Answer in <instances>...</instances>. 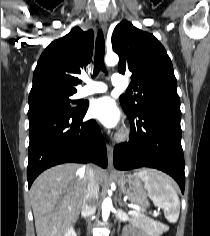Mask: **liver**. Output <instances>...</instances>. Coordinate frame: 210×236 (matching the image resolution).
Listing matches in <instances>:
<instances>
[{"instance_id": "1", "label": "liver", "mask_w": 210, "mask_h": 236, "mask_svg": "<svg viewBox=\"0 0 210 236\" xmlns=\"http://www.w3.org/2000/svg\"><path fill=\"white\" fill-rule=\"evenodd\" d=\"M88 167L62 164L44 171L30 189L37 236H63L71 223H75L82 209L87 189ZM102 183L106 172L94 168Z\"/></svg>"}]
</instances>
